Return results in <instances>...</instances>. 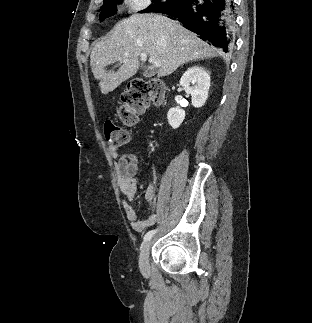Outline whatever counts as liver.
<instances>
[{"mask_svg": "<svg viewBox=\"0 0 312 323\" xmlns=\"http://www.w3.org/2000/svg\"><path fill=\"white\" fill-rule=\"evenodd\" d=\"M217 52L164 14H133L118 22L110 36L96 42L90 66L94 78L100 80L102 94H108L136 74L140 54H147L150 62H161L157 76L162 78L173 74L181 64L209 58ZM120 60L122 66L117 72H108L106 66Z\"/></svg>", "mask_w": 312, "mask_h": 323, "instance_id": "obj_1", "label": "liver"}]
</instances>
